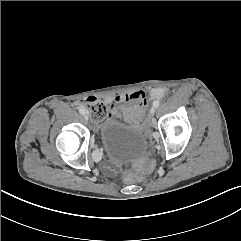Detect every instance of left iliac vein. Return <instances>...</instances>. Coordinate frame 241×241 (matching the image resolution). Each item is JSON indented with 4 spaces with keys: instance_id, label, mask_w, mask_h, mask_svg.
<instances>
[{
    "instance_id": "obj_1",
    "label": "left iliac vein",
    "mask_w": 241,
    "mask_h": 241,
    "mask_svg": "<svg viewBox=\"0 0 241 241\" xmlns=\"http://www.w3.org/2000/svg\"><path fill=\"white\" fill-rule=\"evenodd\" d=\"M150 114H151L152 116L155 114V107H152V108L150 109Z\"/></svg>"
}]
</instances>
